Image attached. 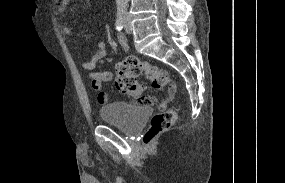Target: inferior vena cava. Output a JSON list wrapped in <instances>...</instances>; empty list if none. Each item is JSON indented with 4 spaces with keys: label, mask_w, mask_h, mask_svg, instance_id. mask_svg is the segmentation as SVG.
<instances>
[{
    "label": "inferior vena cava",
    "mask_w": 285,
    "mask_h": 183,
    "mask_svg": "<svg viewBox=\"0 0 285 183\" xmlns=\"http://www.w3.org/2000/svg\"><path fill=\"white\" fill-rule=\"evenodd\" d=\"M124 14H125V15H127V12H126V11H124Z\"/></svg>",
    "instance_id": "1"
}]
</instances>
